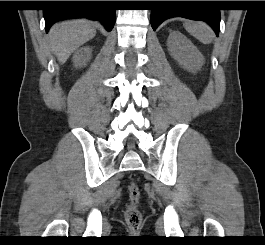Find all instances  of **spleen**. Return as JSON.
Listing matches in <instances>:
<instances>
[{"label": "spleen", "instance_id": "3e777b00", "mask_svg": "<svg viewBox=\"0 0 265 245\" xmlns=\"http://www.w3.org/2000/svg\"><path fill=\"white\" fill-rule=\"evenodd\" d=\"M185 29L192 36L197 38L200 42L204 44H209L212 42L213 34L211 29L203 22H186L184 24Z\"/></svg>", "mask_w": 265, "mask_h": 245}]
</instances>
